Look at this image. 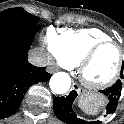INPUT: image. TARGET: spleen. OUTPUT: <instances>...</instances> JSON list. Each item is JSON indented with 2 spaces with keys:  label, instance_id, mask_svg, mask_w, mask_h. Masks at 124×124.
Instances as JSON below:
<instances>
[{
  "label": "spleen",
  "instance_id": "1",
  "mask_svg": "<svg viewBox=\"0 0 124 124\" xmlns=\"http://www.w3.org/2000/svg\"><path fill=\"white\" fill-rule=\"evenodd\" d=\"M104 103V101L102 103H96V102H92L90 99L85 98V97H81L79 99V106L86 112L89 114H96L98 112V107L99 105H102ZM97 106V107H96Z\"/></svg>",
  "mask_w": 124,
  "mask_h": 124
}]
</instances>
